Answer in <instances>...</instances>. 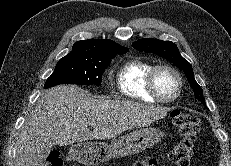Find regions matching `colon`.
<instances>
[{"label": "colon", "instance_id": "1", "mask_svg": "<svg viewBox=\"0 0 231 166\" xmlns=\"http://www.w3.org/2000/svg\"><path fill=\"white\" fill-rule=\"evenodd\" d=\"M171 115L180 138L169 153L168 160L172 166H189L200 130L199 119L194 114L177 110L172 111ZM47 161L48 166H63V161L58 151L51 152ZM131 166H157V161L146 158L135 161Z\"/></svg>", "mask_w": 231, "mask_h": 166}]
</instances>
